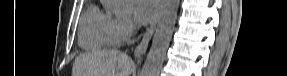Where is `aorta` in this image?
Instances as JSON below:
<instances>
[{"label":"aorta","instance_id":"762f6f07","mask_svg":"<svg viewBox=\"0 0 287 76\" xmlns=\"http://www.w3.org/2000/svg\"><path fill=\"white\" fill-rule=\"evenodd\" d=\"M179 2V0H163L157 28L141 76L159 75L172 38Z\"/></svg>","mask_w":287,"mask_h":76}]
</instances>
